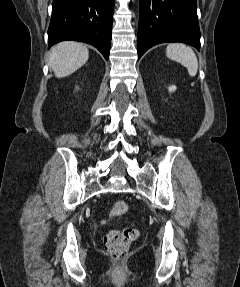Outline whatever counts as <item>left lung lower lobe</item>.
Returning <instances> with one entry per match:
<instances>
[{"instance_id":"left-lung-lower-lobe-1","label":"left lung lower lobe","mask_w":240,"mask_h":287,"mask_svg":"<svg viewBox=\"0 0 240 287\" xmlns=\"http://www.w3.org/2000/svg\"><path fill=\"white\" fill-rule=\"evenodd\" d=\"M163 42L200 49L196 0H140L138 57Z\"/></svg>"}]
</instances>
